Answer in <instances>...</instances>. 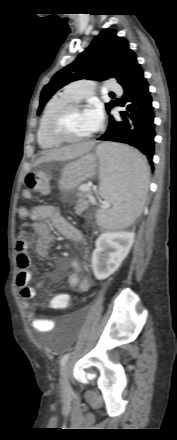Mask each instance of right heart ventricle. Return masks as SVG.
I'll use <instances>...</instances> for the list:
<instances>
[{"label": "right heart ventricle", "instance_id": "right-heart-ventricle-1", "mask_svg": "<svg viewBox=\"0 0 177 440\" xmlns=\"http://www.w3.org/2000/svg\"><path fill=\"white\" fill-rule=\"evenodd\" d=\"M75 101L76 100L68 93L67 89H65L52 96L46 103L37 128V141L42 149H51L59 145V143L55 142L48 136L46 131L47 124L57 110Z\"/></svg>", "mask_w": 177, "mask_h": 440}]
</instances>
